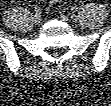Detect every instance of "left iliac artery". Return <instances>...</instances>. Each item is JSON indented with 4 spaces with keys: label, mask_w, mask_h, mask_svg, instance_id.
<instances>
[{
    "label": "left iliac artery",
    "mask_w": 111,
    "mask_h": 106,
    "mask_svg": "<svg viewBox=\"0 0 111 106\" xmlns=\"http://www.w3.org/2000/svg\"><path fill=\"white\" fill-rule=\"evenodd\" d=\"M78 10L77 6L72 7V12H76Z\"/></svg>",
    "instance_id": "1"
}]
</instances>
